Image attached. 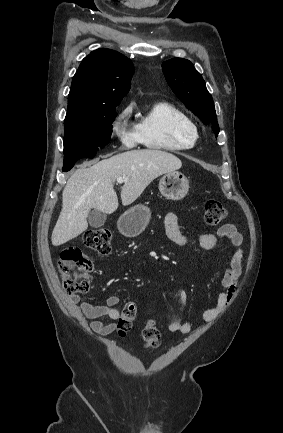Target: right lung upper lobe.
Instances as JSON below:
<instances>
[{"instance_id":"obj_1","label":"right lung upper lobe","mask_w":283,"mask_h":433,"mask_svg":"<svg viewBox=\"0 0 283 433\" xmlns=\"http://www.w3.org/2000/svg\"><path fill=\"white\" fill-rule=\"evenodd\" d=\"M132 74V61L123 54L104 48L93 51L73 77L68 109L119 105L129 91Z\"/></svg>"}]
</instances>
